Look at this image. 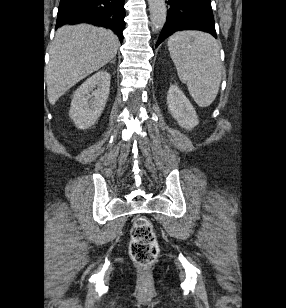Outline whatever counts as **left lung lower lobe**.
<instances>
[{
	"label": "left lung lower lobe",
	"mask_w": 286,
	"mask_h": 308,
	"mask_svg": "<svg viewBox=\"0 0 286 308\" xmlns=\"http://www.w3.org/2000/svg\"><path fill=\"white\" fill-rule=\"evenodd\" d=\"M166 23L156 47L172 33L180 30H202L217 37L211 0H168Z\"/></svg>",
	"instance_id": "0a47b994"
}]
</instances>
